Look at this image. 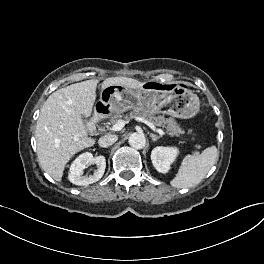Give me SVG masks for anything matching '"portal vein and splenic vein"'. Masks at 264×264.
<instances>
[{
	"label": "portal vein and splenic vein",
	"instance_id": "portal-vein-and-splenic-vein-1",
	"mask_svg": "<svg viewBox=\"0 0 264 264\" xmlns=\"http://www.w3.org/2000/svg\"><path fill=\"white\" fill-rule=\"evenodd\" d=\"M127 122L124 120H119L117 123H115L112 127L111 130L112 131H120L126 124ZM155 131L157 133H159L160 135H165V132L161 129H155Z\"/></svg>",
	"mask_w": 264,
	"mask_h": 264
}]
</instances>
